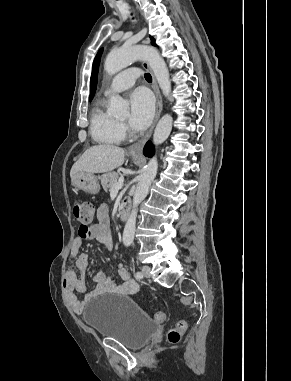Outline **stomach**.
<instances>
[{
    "mask_svg": "<svg viewBox=\"0 0 291 381\" xmlns=\"http://www.w3.org/2000/svg\"><path fill=\"white\" fill-rule=\"evenodd\" d=\"M134 160H137L139 157L136 155H131ZM73 185L88 194H97L100 190V186L97 180V177L93 174L86 172L77 173L72 179Z\"/></svg>",
    "mask_w": 291,
    "mask_h": 381,
    "instance_id": "0dacf381",
    "label": "stomach"
}]
</instances>
